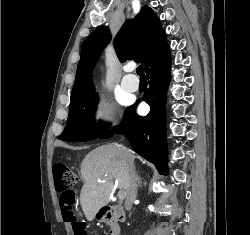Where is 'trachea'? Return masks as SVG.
I'll use <instances>...</instances> for the list:
<instances>
[{"label":"trachea","instance_id":"3493384b","mask_svg":"<svg viewBox=\"0 0 250 235\" xmlns=\"http://www.w3.org/2000/svg\"><path fill=\"white\" fill-rule=\"evenodd\" d=\"M137 74L141 77V78H145V73H144V69L143 66H138L136 69Z\"/></svg>","mask_w":250,"mask_h":235}]
</instances>
